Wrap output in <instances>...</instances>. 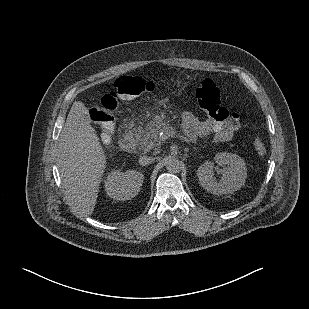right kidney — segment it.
Segmentation results:
<instances>
[{"mask_svg":"<svg viewBox=\"0 0 309 309\" xmlns=\"http://www.w3.org/2000/svg\"><path fill=\"white\" fill-rule=\"evenodd\" d=\"M143 180L144 175L139 171L113 169L104 180V188L106 194L115 200H129L138 194Z\"/></svg>","mask_w":309,"mask_h":309,"instance_id":"ca27d5eb","label":"right kidney"}]
</instances>
